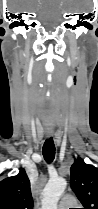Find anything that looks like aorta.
<instances>
[{"mask_svg":"<svg viewBox=\"0 0 98 209\" xmlns=\"http://www.w3.org/2000/svg\"><path fill=\"white\" fill-rule=\"evenodd\" d=\"M66 186L67 182L64 178L50 179L42 193V209H57V204Z\"/></svg>","mask_w":98,"mask_h":209,"instance_id":"aorta-1","label":"aorta"}]
</instances>
